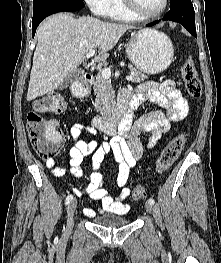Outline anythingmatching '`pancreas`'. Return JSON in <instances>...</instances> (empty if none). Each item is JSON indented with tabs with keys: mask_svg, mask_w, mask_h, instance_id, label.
Listing matches in <instances>:
<instances>
[{
	"mask_svg": "<svg viewBox=\"0 0 221 263\" xmlns=\"http://www.w3.org/2000/svg\"><path fill=\"white\" fill-rule=\"evenodd\" d=\"M111 68V66L109 67ZM133 83H140L148 78L147 75L141 73L133 66H129ZM95 110L102 115H108L113 111L115 105V92L110 79H105L101 73L96 77L94 82Z\"/></svg>",
	"mask_w": 221,
	"mask_h": 263,
	"instance_id": "cf45deb5",
	"label": "pancreas"
}]
</instances>
